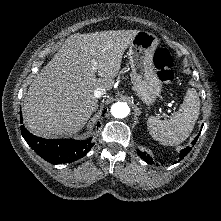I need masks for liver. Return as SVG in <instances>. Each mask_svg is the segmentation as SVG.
<instances>
[{
    "instance_id": "obj_1",
    "label": "liver",
    "mask_w": 221,
    "mask_h": 221,
    "mask_svg": "<svg viewBox=\"0 0 221 221\" xmlns=\"http://www.w3.org/2000/svg\"><path fill=\"white\" fill-rule=\"evenodd\" d=\"M138 32L110 30L68 37L29 86L23 104L27 127L47 138L80 131L98 107L95 89H112L123 54ZM93 61L98 63L96 71Z\"/></svg>"
}]
</instances>
